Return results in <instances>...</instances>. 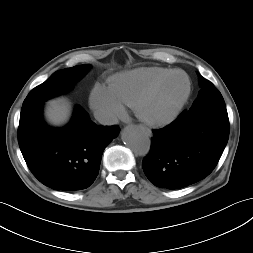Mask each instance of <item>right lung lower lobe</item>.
I'll list each match as a JSON object with an SVG mask.
<instances>
[{"label":"right lung lower lobe","mask_w":253,"mask_h":253,"mask_svg":"<svg viewBox=\"0 0 253 253\" xmlns=\"http://www.w3.org/2000/svg\"><path fill=\"white\" fill-rule=\"evenodd\" d=\"M43 103L22 109L18 143L27 166L44 185L55 190L76 191L96 179L102 154L115 138L118 126L93 123L76 107L68 125L51 128L42 118Z\"/></svg>","instance_id":"right-lung-lower-lobe-1"}]
</instances>
